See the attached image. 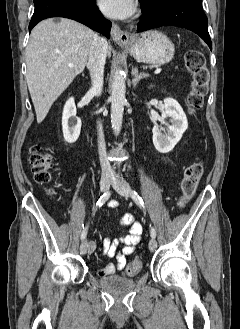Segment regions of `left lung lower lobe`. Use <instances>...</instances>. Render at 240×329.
Instances as JSON below:
<instances>
[{
	"label": "left lung lower lobe",
	"mask_w": 240,
	"mask_h": 329,
	"mask_svg": "<svg viewBox=\"0 0 240 329\" xmlns=\"http://www.w3.org/2000/svg\"><path fill=\"white\" fill-rule=\"evenodd\" d=\"M140 4L143 15L137 32L161 26H179L198 34L212 50L202 0H140Z\"/></svg>",
	"instance_id": "obj_1"
}]
</instances>
